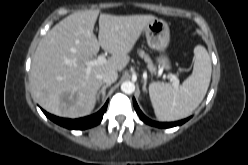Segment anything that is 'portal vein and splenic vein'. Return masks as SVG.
<instances>
[{
    "instance_id": "1",
    "label": "portal vein and splenic vein",
    "mask_w": 248,
    "mask_h": 165,
    "mask_svg": "<svg viewBox=\"0 0 248 165\" xmlns=\"http://www.w3.org/2000/svg\"><path fill=\"white\" fill-rule=\"evenodd\" d=\"M106 61L107 60H106V57L104 55H99L97 59L86 62L87 72L89 73L93 66L102 65V64L106 63ZM169 78H170V81L172 82V85L174 87L179 86V80L176 76L170 75Z\"/></svg>"
}]
</instances>
